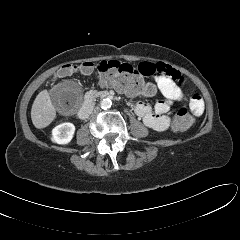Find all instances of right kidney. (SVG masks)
<instances>
[{"instance_id": "ca27d5eb", "label": "right kidney", "mask_w": 240, "mask_h": 240, "mask_svg": "<svg viewBox=\"0 0 240 240\" xmlns=\"http://www.w3.org/2000/svg\"><path fill=\"white\" fill-rule=\"evenodd\" d=\"M74 132L75 126L72 123H62L53 128L51 140L57 144H68Z\"/></svg>"}]
</instances>
